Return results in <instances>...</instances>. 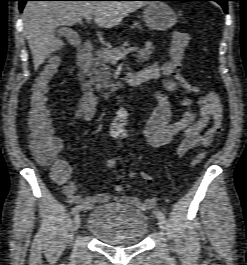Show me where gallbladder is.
Wrapping results in <instances>:
<instances>
[{"label":"gallbladder","instance_id":"obj_1","mask_svg":"<svg viewBox=\"0 0 247 265\" xmlns=\"http://www.w3.org/2000/svg\"><path fill=\"white\" fill-rule=\"evenodd\" d=\"M59 36H66L67 34L70 33V30L67 28H61L57 31Z\"/></svg>","mask_w":247,"mask_h":265}]
</instances>
